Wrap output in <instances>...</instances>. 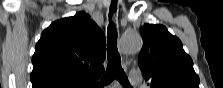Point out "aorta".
<instances>
[{"instance_id":"762f6f07","label":"aorta","mask_w":223,"mask_h":88,"mask_svg":"<svg viewBox=\"0 0 223 88\" xmlns=\"http://www.w3.org/2000/svg\"><path fill=\"white\" fill-rule=\"evenodd\" d=\"M142 46L141 37L136 33H126L120 41V51L123 54L132 53L140 50Z\"/></svg>"}]
</instances>
